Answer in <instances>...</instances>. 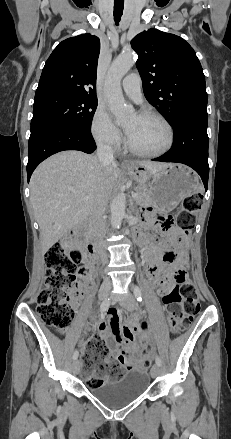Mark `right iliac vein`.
Instances as JSON below:
<instances>
[{"label":"right iliac vein","mask_w":231,"mask_h":439,"mask_svg":"<svg viewBox=\"0 0 231 439\" xmlns=\"http://www.w3.org/2000/svg\"><path fill=\"white\" fill-rule=\"evenodd\" d=\"M108 288H110V285L108 286ZM106 296H107V292L103 291V292L100 293L99 299L100 300H104L106 298ZM80 368H81V362H80V360L76 359L73 362V372H74V374H78L79 371H80Z\"/></svg>","instance_id":"right-iliac-vein-1"}]
</instances>
